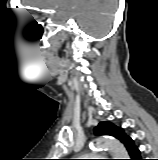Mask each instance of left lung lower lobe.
Returning <instances> with one entry per match:
<instances>
[{
    "label": "left lung lower lobe",
    "mask_w": 158,
    "mask_h": 160,
    "mask_svg": "<svg viewBox=\"0 0 158 160\" xmlns=\"http://www.w3.org/2000/svg\"><path fill=\"white\" fill-rule=\"evenodd\" d=\"M124 146L126 147L131 159L130 160H143L140 155L138 147L134 144V141L131 137L127 136L123 141Z\"/></svg>",
    "instance_id": "obj_1"
}]
</instances>
